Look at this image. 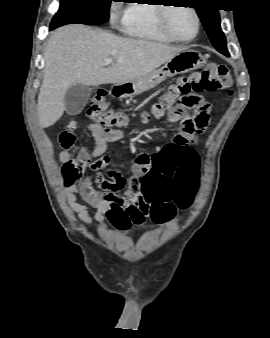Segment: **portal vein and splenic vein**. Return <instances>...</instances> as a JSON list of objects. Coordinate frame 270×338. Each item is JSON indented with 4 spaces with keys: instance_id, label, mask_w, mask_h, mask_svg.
Segmentation results:
<instances>
[{
    "instance_id": "18ae733b",
    "label": "portal vein and splenic vein",
    "mask_w": 270,
    "mask_h": 338,
    "mask_svg": "<svg viewBox=\"0 0 270 338\" xmlns=\"http://www.w3.org/2000/svg\"><path fill=\"white\" fill-rule=\"evenodd\" d=\"M112 62H113V58H108L103 62V66H108L112 64Z\"/></svg>"
}]
</instances>
